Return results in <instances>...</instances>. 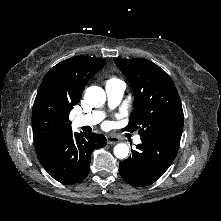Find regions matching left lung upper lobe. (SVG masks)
Returning a JSON list of instances; mask_svg holds the SVG:
<instances>
[{
	"instance_id": "left-lung-upper-lobe-1",
	"label": "left lung upper lobe",
	"mask_w": 221,
	"mask_h": 221,
	"mask_svg": "<svg viewBox=\"0 0 221 221\" xmlns=\"http://www.w3.org/2000/svg\"><path fill=\"white\" fill-rule=\"evenodd\" d=\"M114 61L134 91V110L126 129H138L141 137L179 146L184 115L170 76L147 59Z\"/></svg>"
}]
</instances>
